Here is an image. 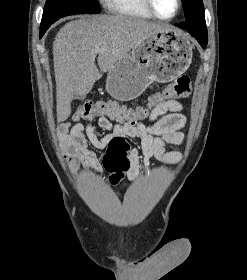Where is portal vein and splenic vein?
Returning a JSON list of instances; mask_svg holds the SVG:
<instances>
[{
    "instance_id": "18ae733b",
    "label": "portal vein and splenic vein",
    "mask_w": 247,
    "mask_h": 280,
    "mask_svg": "<svg viewBox=\"0 0 247 280\" xmlns=\"http://www.w3.org/2000/svg\"><path fill=\"white\" fill-rule=\"evenodd\" d=\"M96 51H100V48L99 47H96V49H95Z\"/></svg>"
}]
</instances>
